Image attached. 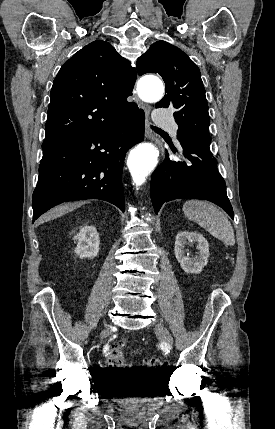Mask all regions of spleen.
I'll list each match as a JSON object with an SVG mask.
<instances>
[{"label":"spleen","mask_w":275,"mask_h":429,"mask_svg":"<svg viewBox=\"0 0 275 429\" xmlns=\"http://www.w3.org/2000/svg\"><path fill=\"white\" fill-rule=\"evenodd\" d=\"M183 212L189 220L198 223L226 245L235 244L233 228L224 213L216 206L201 200H189L183 205Z\"/></svg>","instance_id":"spleen-1"}]
</instances>
